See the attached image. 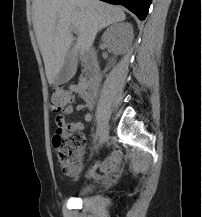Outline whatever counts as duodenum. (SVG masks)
Masks as SVG:
<instances>
[{"instance_id":"410a0bca","label":"duodenum","mask_w":202,"mask_h":217,"mask_svg":"<svg viewBox=\"0 0 202 217\" xmlns=\"http://www.w3.org/2000/svg\"><path fill=\"white\" fill-rule=\"evenodd\" d=\"M86 59L85 64H87V70H88V80L84 81V86L87 92L89 93H96L98 89V71L96 67L90 62L89 56V50L86 51Z\"/></svg>"}]
</instances>
